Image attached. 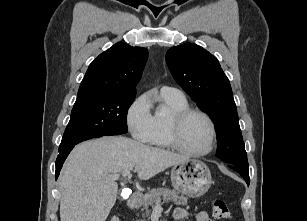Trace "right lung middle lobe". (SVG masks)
<instances>
[{"label": "right lung middle lobe", "mask_w": 307, "mask_h": 221, "mask_svg": "<svg viewBox=\"0 0 307 221\" xmlns=\"http://www.w3.org/2000/svg\"><path fill=\"white\" fill-rule=\"evenodd\" d=\"M135 95L107 94L75 102L59 151L88 139L126 133L127 112Z\"/></svg>", "instance_id": "obj_1"}]
</instances>
